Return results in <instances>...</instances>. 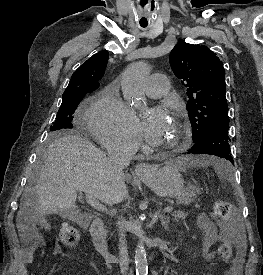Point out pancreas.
I'll return each instance as SVG.
<instances>
[{"mask_svg":"<svg viewBox=\"0 0 263 275\" xmlns=\"http://www.w3.org/2000/svg\"><path fill=\"white\" fill-rule=\"evenodd\" d=\"M172 216L175 218L176 221H178L179 219L184 220L186 218L187 214L178 210V211H174L172 213Z\"/></svg>","mask_w":263,"mask_h":275,"instance_id":"cf45deb5","label":"pancreas"}]
</instances>
